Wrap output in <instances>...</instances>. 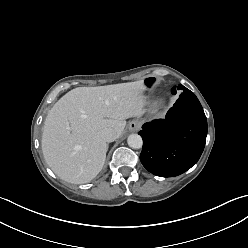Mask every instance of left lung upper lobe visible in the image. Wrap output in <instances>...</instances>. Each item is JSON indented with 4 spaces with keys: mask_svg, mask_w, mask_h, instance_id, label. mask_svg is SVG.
Segmentation results:
<instances>
[{
    "mask_svg": "<svg viewBox=\"0 0 248 248\" xmlns=\"http://www.w3.org/2000/svg\"><path fill=\"white\" fill-rule=\"evenodd\" d=\"M185 89H187V88L180 84V85H178L177 87H173V88H172V93L175 94L177 90L183 91V90H185Z\"/></svg>",
    "mask_w": 248,
    "mask_h": 248,
    "instance_id": "obj_1",
    "label": "left lung upper lobe"
}]
</instances>
